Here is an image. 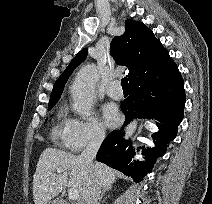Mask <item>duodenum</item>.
Returning <instances> with one entry per match:
<instances>
[{"label":"duodenum","instance_id":"410a0bca","mask_svg":"<svg viewBox=\"0 0 212 204\" xmlns=\"http://www.w3.org/2000/svg\"><path fill=\"white\" fill-rule=\"evenodd\" d=\"M58 204H69V203H67L65 200H59V203Z\"/></svg>","mask_w":212,"mask_h":204}]
</instances>
